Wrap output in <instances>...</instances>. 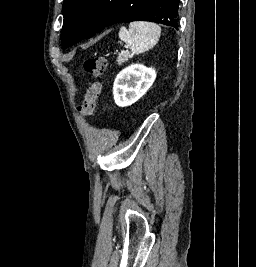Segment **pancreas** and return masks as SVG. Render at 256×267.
I'll list each match as a JSON object with an SVG mask.
<instances>
[{
  "label": "pancreas",
  "instance_id": "1",
  "mask_svg": "<svg viewBox=\"0 0 256 267\" xmlns=\"http://www.w3.org/2000/svg\"><path fill=\"white\" fill-rule=\"evenodd\" d=\"M129 58H131L129 54H126V52H122V54L118 56L116 62H118V66H122L123 62H128Z\"/></svg>",
  "mask_w": 256,
  "mask_h": 267
}]
</instances>
